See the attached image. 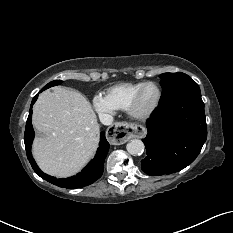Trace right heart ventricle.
Segmentation results:
<instances>
[{
	"label": "right heart ventricle",
	"mask_w": 233,
	"mask_h": 233,
	"mask_svg": "<svg viewBox=\"0 0 233 233\" xmlns=\"http://www.w3.org/2000/svg\"><path fill=\"white\" fill-rule=\"evenodd\" d=\"M143 83L128 82L114 85L107 89L105 96L116 109L127 110L133 95Z\"/></svg>",
	"instance_id": "e07e8e85"
}]
</instances>
